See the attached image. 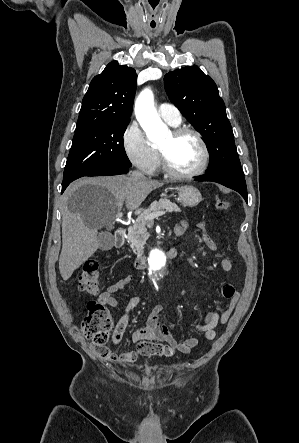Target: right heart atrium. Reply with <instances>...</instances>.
I'll return each mask as SVG.
<instances>
[{
	"label": "right heart atrium",
	"instance_id": "d8ad5b80",
	"mask_svg": "<svg viewBox=\"0 0 299 443\" xmlns=\"http://www.w3.org/2000/svg\"><path fill=\"white\" fill-rule=\"evenodd\" d=\"M122 147L128 160L145 173L152 172L157 165V154L149 144L136 121L130 122L122 133Z\"/></svg>",
	"mask_w": 299,
	"mask_h": 443
}]
</instances>
